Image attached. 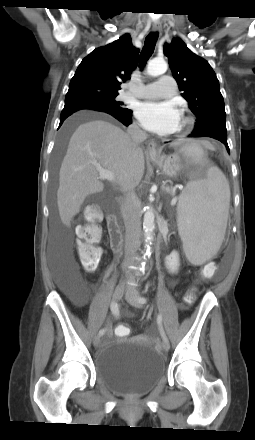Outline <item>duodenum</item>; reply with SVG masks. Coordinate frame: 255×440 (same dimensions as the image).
<instances>
[{
  "label": "duodenum",
  "mask_w": 255,
  "mask_h": 440,
  "mask_svg": "<svg viewBox=\"0 0 255 440\" xmlns=\"http://www.w3.org/2000/svg\"><path fill=\"white\" fill-rule=\"evenodd\" d=\"M107 226L112 247L116 252H119L122 243V233L118 226L117 219L114 215L111 214L108 216Z\"/></svg>",
  "instance_id": "1"
}]
</instances>
